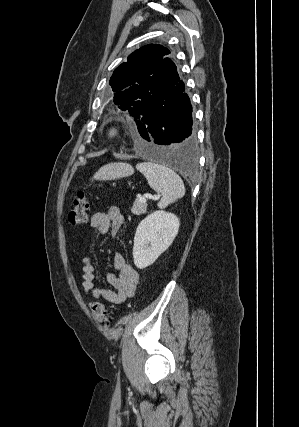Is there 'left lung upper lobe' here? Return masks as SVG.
I'll list each match as a JSON object with an SVG mask.
<instances>
[{"label": "left lung upper lobe", "instance_id": "5c2ea615", "mask_svg": "<svg viewBox=\"0 0 299 427\" xmlns=\"http://www.w3.org/2000/svg\"><path fill=\"white\" fill-rule=\"evenodd\" d=\"M168 54L170 51L161 45L143 46L130 54L110 79L114 103L127 110L135 122L141 118L142 108L159 101L180 80Z\"/></svg>", "mask_w": 299, "mask_h": 427}]
</instances>
